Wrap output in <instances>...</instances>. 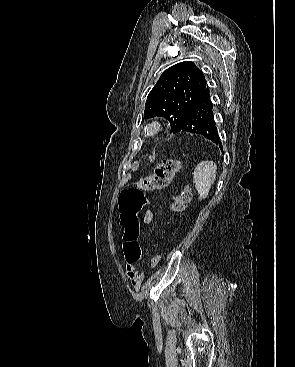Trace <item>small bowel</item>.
<instances>
[{"label": "small bowel", "instance_id": "obj_1", "mask_svg": "<svg viewBox=\"0 0 295 367\" xmlns=\"http://www.w3.org/2000/svg\"><path fill=\"white\" fill-rule=\"evenodd\" d=\"M152 219V214L150 212L146 213L145 220L146 222H150ZM125 272L130 280V283L134 290L138 291L141 288L142 281H143V273L139 270H137L135 266V262H129L125 258Z\"/></svg>", "mask_w": 295, "mask_h": 367}]
</instances>
